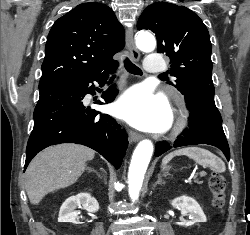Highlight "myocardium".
Here are the masks:
<instances>
[{"label": "myocardium", "instance_id": "myocardium-1", "mask_svg": "<svg viewBox=\"0 0 250 235\" xmlns=\"http://www.w3.org/2000/svg\"><path fill=\"white\" fill-rule=\"evenodd\" d=\"M171 121H173V133H180L187 124V113L184 108L180 109L178 113L172 115Z\"/></svg>", "mask_w": 250, "mask_h": 235}]
</instances>
